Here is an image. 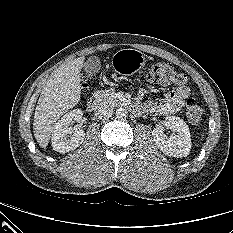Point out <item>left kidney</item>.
<instances>
[{
  "label": "left kidney",
  "mask_w": 233,
  "mask_h": 233,
  "mask_svg": "<svg viewBox=\"0 0 233 233\" xmlns=\"http://www.w3.org/2000/svg\"><path fill=\"white\" fill-rule=\"evenodd\" d=\"M165 126L173 133L167 136L162 126L154 128L152 135L157 147L166 155L173 157H186L191 149V135L185 121L175 116L165 119Z\"/></svg>",
  "instance_id": "obj_1"
}]
</instances>
